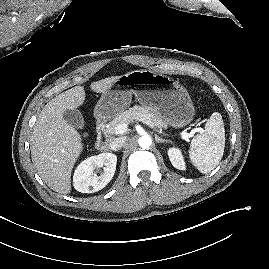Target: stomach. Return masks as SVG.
Here are the masks:
<instances>
[{"label":"stomach","instance_id":"obj_1","mask_svg":"<svg viewBox=\"0 0 269 269\" xmlns=\"http://www.w3.org/2000/svg\"><path fill=\"white\" fill-rule=\"evenodd\" d=\"M132 95L173 128L185 127L194 118L191 97L179 82L151 70H134L119 76L112 87L102 93L94 109L96 119L106 121L118 116L129 107Z\"/></svg>","mask_w":269,"mask_h":269}]
</instances>
